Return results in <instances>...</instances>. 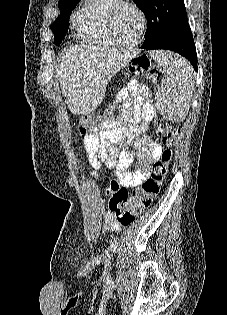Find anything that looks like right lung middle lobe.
Listing matches in <instances>:
<instances>
[{"label":"right lung middle lobe","instance_id":"right-lung-middle-lobe-1","mask_svg":"<svg viewBox=\"0 0 227 315\" xmlns=\"http://www.w3.org/2000/svg\"><path fill=\"white\" fill-rule=\"evenodd\" d=\"M80 0H61L58 3L60 15L51 26L54 33V43L60 45L62 39L68 32L69 18L71 10H73Z\"/></svg>","mask_w":227,"mask_h":315}]
</instances>
